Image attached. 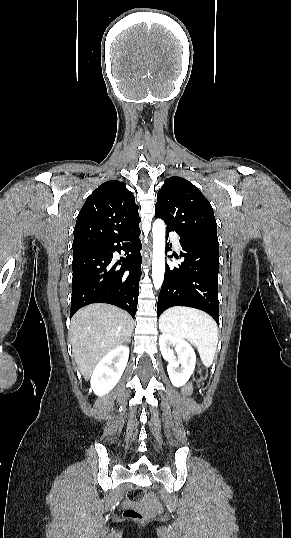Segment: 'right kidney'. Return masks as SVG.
Instances as JSON below:
<instances>
[{"instance_id": "obj_1", "label": "right kidney", "mask_w": 291, "mask_h": 538, "mask_svg": "<svg viewBox=\"0 0 291 538\" xmlns=\"http://www.w3.org/2000/svg\"><path fill=\"white\" fill-rule=\"evenodd\" d=\"M129 358V348L119 345L108 352L96 365L91 376V389L103 396L112 390L121 378Z\"/></svg>"}]
</instances>
